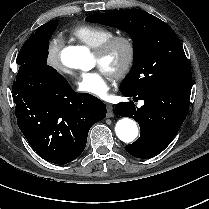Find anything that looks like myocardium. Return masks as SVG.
<instances>
[{"label":"myocardium","mask_w":209,"mask_h":209,"mask_svg":"<svg viewBox=\"0 0 209 209\" xmlns=\"http://www.w3.org/2000/svg\"><path fill=\"white\" fill-rule=\"evenodd\" d=\"M122 46L125 49V57L120 65L110 72L114 79H122L130 71L136 58V45L134 40L127 35H113L102 45L94 50L95 56L100 62L108 60L114 50Z\"/></svg>","instance_id":"1"}]
</instances>
